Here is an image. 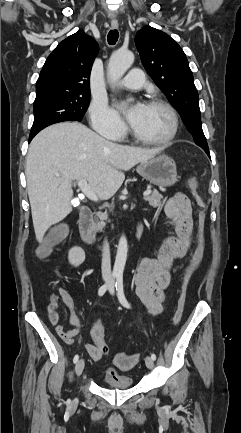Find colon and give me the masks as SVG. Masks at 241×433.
<instances>
[{
    "instance_id": "1",
    "label": "colon",
    "mask_w": 241,
    "mask_h": 433,
    "mask_svg": "<svg viewBox=\"0 0 241 433\" xmlns=\"http://www.w3.org/2000/svg\"><path fill=\"white\" fill-rule=\"evenodd\" d=\"M197 201L201 207H204V202L201 198L198 197ZM198 226H199L198 244L190 262L188 263L184 271L182 287H181V297L173 318L175 324H177L182 317L185 294H186L188 283L190 282L194 273L200 267L205 252V237H204L205 215L203 211H201L198 215ZM60 238H61L60 234L51 236L42 246L41 253L42 254L46 253L51 247H53L60 240ZM99 350L102 356L107 355L109 351L108 345L105 342L101 343L99 345ZM139 358H140L139 354L128 355L124 353H118L114 358V363L118 369L126 371L132 369L137 364Z\"/></svg>"
}]
</instances>
